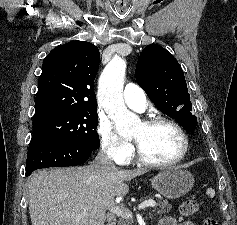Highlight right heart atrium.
I'll return each mask as SVG.
<instances>
[{
  "label": "right heart atrium",
  "mask_w": 237,
  "mask_h": 225,
  "mask_svg": "<svg viewBox=\"0 0 237 225\" xmlns=\"http://www.w3.org/2000/svg\"><path fill=\"white\" fill-rule=\"evenodd\" d=\"M96 131L101 150L109 159L117 164H126L132 159L131 145L117 134L107 119L98 120Z\"/></svg>",
  "instance_id": "d8ad5b80"
}]
</instances>
